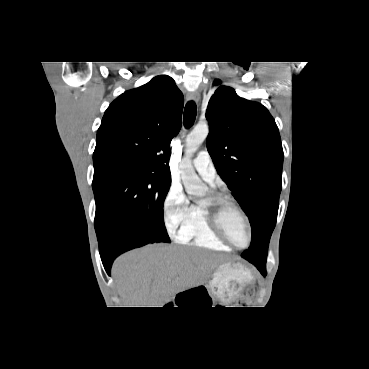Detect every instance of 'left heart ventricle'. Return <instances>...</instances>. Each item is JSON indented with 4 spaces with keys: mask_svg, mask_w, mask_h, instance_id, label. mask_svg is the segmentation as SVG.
<instances>
[{
    "mask_svg": "<svg viewBox=\"0 0 369 369\" xmlns=\"http://www.w3.org/2000/svg\"><path fill=\"white\" fill-rule=\"evenodd\" d=\"M224 228L230 239L238 246H244L248 233L241 215L232 207L225 209L222 217Z\"/></svg>",
    "mask_w": 369,
    "mask_h": 369,
    "instance_id": "b2bd125f",
    "label": "left heart ventricle"
}]
</instances>
